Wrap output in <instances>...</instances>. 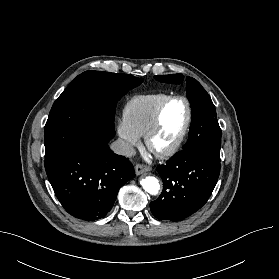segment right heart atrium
Wrapping results in <instances>:
<instances>
[{"label":"right heart atrium","mask_w":279,"mask_h":279,"mask_svg":"<svg viewBox=\"0 0 279 279\" xmlns=\"http://www.w3.org/2000/svg\"><path fill=\"white\" fill-rule=\"evenodd\" d=\"M121 149L123 154L130 155L140 142V135L135 132L123 117L117 125Z\"/></svg>","instance_id":"1"}]
</instances>
